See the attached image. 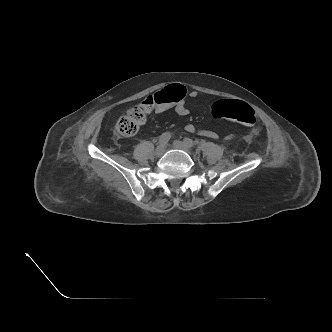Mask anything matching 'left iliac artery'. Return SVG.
Segmentation results:
<instances>
[{
    "instance_id": "44dca946",
    "label": "left iliac artery",
    "mask_w": 332,
    "mask_h": 332,
    "mask_svg": "<svg viewBox=\"0 0 332 332\" xmlns=\"http://www.w3.org/2000/svg\"><path fill=\"white\" fill-rule=\"evenodd\" d=\"M184 143H186L188 146H190V147H193L194 146V142H193V140L192 139H190V138H185L184 139Z\"/></svg>"
}]
</instances>
